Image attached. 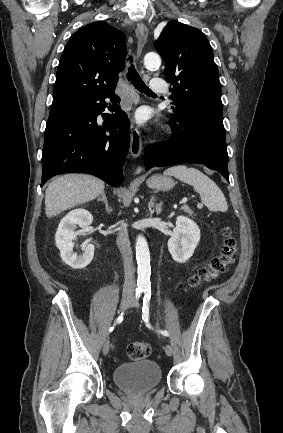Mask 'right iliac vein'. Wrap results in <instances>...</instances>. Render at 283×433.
Here are the masks:
<instances>
[{
	"label": "right iliac vein",
	"mask_w": 283,
	"mask_h": 433,
	"mask_svg": "<svg viewBox=\"0 0 283 433\" xmlns=\"http://www.w3.org/2000/svg\"><path fill=\"white\" fill-rule=\"evenodd\" d=\"M131 303H132V299L129 298L128 296H124L120 302L121 311H124ZM109 349H110V341H109V338H107L103 344V347H102L103 354L107 355L109 352Z\"/></svg>",
	"instance_id": "1"
}]
</instances>
